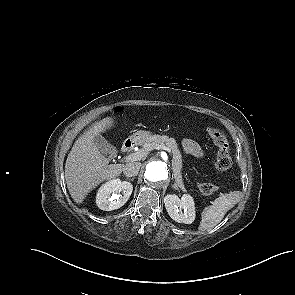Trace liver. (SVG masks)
Listing matches in <instances>:
<instances>
[{"mask_svg": "<svg viewBox=\"0 0 295 295\" xmlns=\"http://www.w3.org/2000/svg\"><path fill=\"white\" fill-rule=\"evenodd\" d=\"M107 118L94 129L76 140L65 164V180L73 200L81 204L88 193L100 183L118 177L123 171L121 164H109L97 148L94 137L113 126Z\"/></svg>", "mask_w": 295, "mask_h": 295, "instance_id": "1", "label": "liver"}]
</instances>
